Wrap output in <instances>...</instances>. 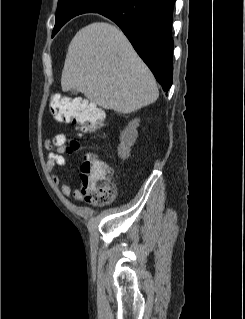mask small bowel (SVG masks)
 Masks as SVG:
<instances>
[{
  "label": "small bowel",
  "instance_id": "obj_1",
  "mask_svg": "<svg viewBox=\"0 0 245 319\" xmlns=\"http://www.w3.org/2000/svg\"><path fill=\"white\" fill-rule=\"evenodd\" d=\"M44 146L48 151L47 154V169L52 173V180L56 185H60L61 191L64 196H73L75 200L83 201V195L80 189H72L70 184L66 181L60 183V179L57 175L53 174V171L58 166H64L66 164V158L64 154L68 151L67 136L64 133L56 134L52 139H46Z\"/></svg>",
  "mask_w": 245,
  "mask_h": 319
}]
</instances>
